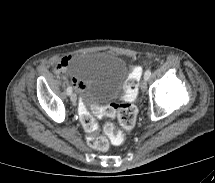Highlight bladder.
<instances>
[{
	"mask_svg": "<svg viewBox=\"0 0 215 183\" xmlns=\"http://www.w3.org/2000/svg\"><path fill=\"white\" fill-rule=\"evenodd\" d=\"M69 71L84 82L83 99L87 102H106L117 96H126L128 67L126 61L112 53L88 51L71 59Z\"/></svg>",
	"mask_w": 215,
	"mask_h": 183,
	"instance_id": "obj_1",
	"label": "bladder"
}]
</instances>
